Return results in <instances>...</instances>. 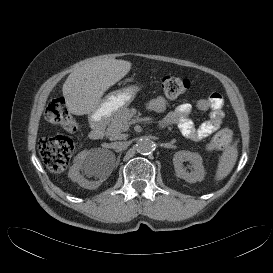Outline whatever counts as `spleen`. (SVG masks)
Wrapping results in <instances>:
<instances>
[{"label":"spleen","mask_w":273,"mask_h":273,"mask_svg":"<svg viewBox=\"0 0 273 273\" xmlns=\"http://www.w3.org/2000/svg\"><path fill=\"white\" fill-rule=\"evenodd\" d=\"M238 157L236 144L228 146L219 158L215 180L220 181L227 177L232 171Z\"/></svg>","instance_id":"1"}]
</instances>
